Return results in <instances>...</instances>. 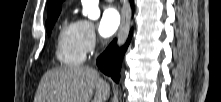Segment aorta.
<instances>
[{"label": "aorta", "mask_w": 221, "mask_h": 102, "mask_svg": "<svg viewBox=\"0 0 221 102\" xmlns=\"http://www.w3.org/2000/svg\"><path fill=\"white\" fill-rule=\"evenodd\" d=\"M84 16H87L91 20H96L100 16L99 0H81Z\"/></svg>", "instance_id": "obj_1"}]
</instances>
